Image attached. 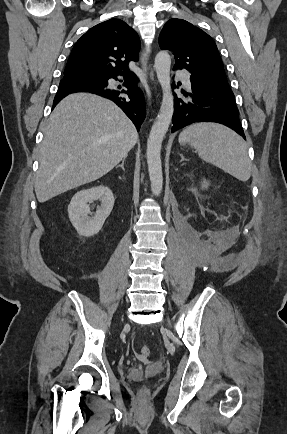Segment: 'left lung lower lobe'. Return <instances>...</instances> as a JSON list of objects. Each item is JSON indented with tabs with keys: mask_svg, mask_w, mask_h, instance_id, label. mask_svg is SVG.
<instances>
[{
	"mask_svg": "<svg viewBox=\"0 0 287 434\" xmlns=\"http://www.w3.org/2000/svg\"><path fill=\"white\" fill-rule=\"evenodd\" d=\"M190 81L192 93H184L190 101H183L174 94L172 132L195 122H217L235 130L245 139L232 91L211 85L197 76L191 75ZM172 87H176L175 82Z\"/></svg>",
	"mask_w": 287,
	"mask_h": 434,
	"instance_id": "1",
	"label": "left lung lower lobe"
}]
</instances>
